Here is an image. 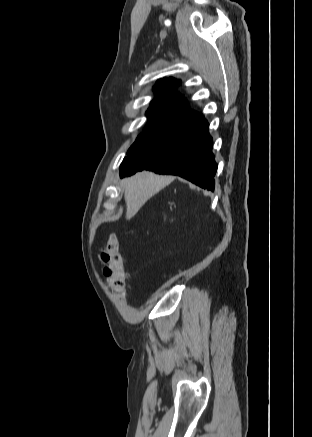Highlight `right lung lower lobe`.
I'll use <instances>...</instances> for the list:
<instances>
[{
  "instance_id": "98d812e1",
  "label": "right lung lower lobe",
  "mask_w": 312,
  "mask_h": 437,
  "mask_svg": "<svg viewBox=\"0 0 312 437\" xmlns=\"http://www.w3.org/2000/svg\"><path fill=\"white\" fill-rule=\"evenodd\" d=\"M208 127V122L201 115L188 130L169 143L127 154L121 164V177L146 169L159 174L178 175L201 188L213 190L217 164Z\"/></svg>"
}]
</instances>
